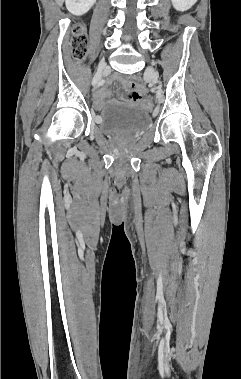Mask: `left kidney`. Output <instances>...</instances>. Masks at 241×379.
Masks as SVG:
<instances>
[{
	"label": "left kidney",
	"instance_id": "5707ae66",
	"mask_svg": "<svg viewBox=\"0 0 241 379\" xmlns=\"http://www.w3.org/2000/svg\"><path fill=\"white\" fill-rule=\"evenodd\" d=\"M174 8L178 11H186L190 9L197 0H171Z\"/></svg>",
	"mask_w": 241,
	"mask_h": 379
}]
</instances>
